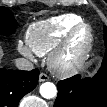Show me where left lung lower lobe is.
I'll return each mask as SVG.
<instances>
[{"label":"left lung lower lobe","instance_id":"left-lung-lower-lobe-1","mask_svg":"<svg viewBox=\"0 0 107 107\" xmlns=\"http://www.w3.org/2000/svg\"><path fill=\"white\" fill-rule=\"evenodd\" d=\"M57 88L54 107H107V62L93 78L76 75L59 81Z\"/></svg>","mask_w":107,"mask_h":107}]
</instances>
